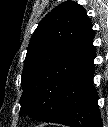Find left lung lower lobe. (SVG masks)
Here are the masks:
<instances>
[{
	"mask_svg": "<svg viewBox=\"0 0 108 127\" xmlns=\"http://www.w3.org/2000/svg\"><path fill=\"white\" fill-rule=\"evenodd\" d=\"M93 38L92 24L86 17L67 54L60 58L65 67L61 85L37 119L71 127H102L98 94L93 82Z\"/></svg>",
	"mask_w": 108,
	"mask_h": 127,
	"instance_id": "1",
	"label": "left lung lower lobe"
}]
</instances>
